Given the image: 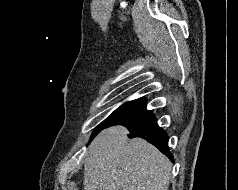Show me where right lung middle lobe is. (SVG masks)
<instances>
[{"label":"right lung middle lobe","instance_id":"1","mask_svg":"<svg viewBox=\"0 0 238 190\" xmlns=\"http://www.w3.org/2000/svg\"><path fill=\"white\" fill-rule=\"evenodd\" d=\"M148 112L146 109V102L141 100H133L124 103L116 109L106 120H104L92 133L91 140L103 129L120 125L124 122L135 119ZM90 140V141H91Z\"/></svg>","mask_w":238,"mask_h":190}]
</instances>
